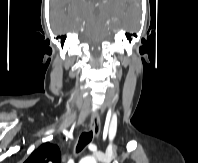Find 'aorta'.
Returning <instances> with one entry per match:
<instances>
[{
  "label": "aorta",
  "mask_w": 198,
  "mask_h": 163,
  "mask_svg": "<svg viewBox=\"0 0 198 163\" xmlns=\"http://www.w3.org/2000/svg\"><path fill=\"white\" fill-rule=\"evenodd\" d=\"M79 163H97V161L95 160L94 157L87 156L82 158Z\"/></svg>",
  "instance_id": "762f6f07"
}]
</instances>
